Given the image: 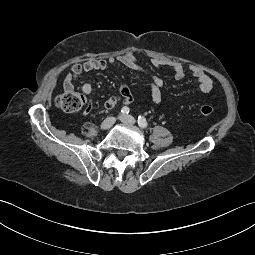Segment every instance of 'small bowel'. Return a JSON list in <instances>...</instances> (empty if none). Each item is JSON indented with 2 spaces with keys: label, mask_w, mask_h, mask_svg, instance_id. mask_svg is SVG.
Masks as SVG:
<instances>
[{
  "label": "small bowel",
  "mask_w": 255,
  "mask_h": 255,
  "mask_svg": "<svg viewBox=\"0 0 255 255\" xmlns=\"http://www.w3.org/2000/svg\"><path fill=\"white\" fill-rule=\"evenodd\" d=\"M151 64L156 68L170 69L174 78L177 80L184 78L186 75L184 67L179 62L153 58ZM108 66L126 67L147 74L150 77L151 99L155 104L161 103L164 80L143 67L138 62L136 54L133 51H128L125 54L110 57L106 60H89L85 63H76L72 66L71 72L67 74L64 85L65 87L71 85V82L76 81L83 73L105 70ZM189 72L197 80L198 87L202 92L208 93L212 90L213 81L206 72L196 67L191 68ZM119 91V95L110 97L104 103L106 110H112L120 102L126 105L133 102V95L126 81H121ZM82 92L86 96H90L93 92L92 84L85 83L82 86Z\"/></svg>",
  "instance_id": "c3829d8e"
}]
</instances>
